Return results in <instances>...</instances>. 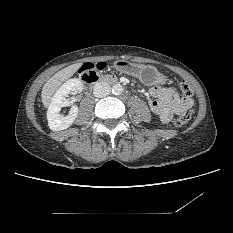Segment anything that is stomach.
<instances>
[{
    "mask_svg": "<svg viewBox=\"0 0 233 233\" xmlns=\"http://www.w3.org/2000/svg\"><path fill=\"white\" fill-rule=\"evenodd\" d=\"M114 68L137 78L147 86L163 85L166 83V77L152 66L134 64L125 60H117L114 62Z\"/></svg>",
    "mask_w": 233,
    "mask_h": 233,
    "instance_id": "0dacf381",
    "label": "stomach"
}]
</instances>
